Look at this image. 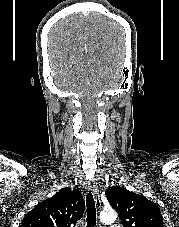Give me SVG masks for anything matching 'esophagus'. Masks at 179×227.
<instances>
[{"label": "esophagus", "mask_w": 179, "mask_h": 227, "mask_svg": "<svg viewBox=\"0 0 179 227\" xmlns=\"http://www.w3.org/2000/svg\"><path fill=\"white\" fill-rule=\"evenodd\" d=\"M91 190H92V194L94 196V200L96 203V207L99 210L101 208V200H100V196H99V190L97 185L95 184V182H92L91 184Z\"/></svg>", "instance_id": "esophagus-1"}]
</instances>
